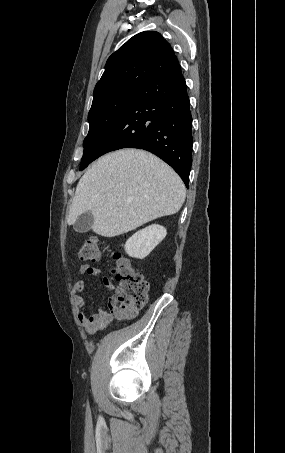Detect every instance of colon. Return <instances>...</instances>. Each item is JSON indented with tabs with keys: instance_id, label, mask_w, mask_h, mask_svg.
I'll list each match as a JSON object with an SVG mask.
<instances>
[{
	"instance_id": "1",
	"label": "colon",
	"mask_w": 285,
	"mask_h": 453,
	"mask_svg": "<svg viewBox=\"0 0 285 453\" xmlns=\"http://www.w3.org/2000/svg\"><path fill=\"white\" fill-rule=\"evenodd\" d=\"M79 255L84 261H99L102 257L99 237L94 235L87 237ZM113 274L118 282L114 300L124 316L133 317L148 301L149 282L129 259L120 253L114 255Z\"/></svg>"
}]
</instances>
